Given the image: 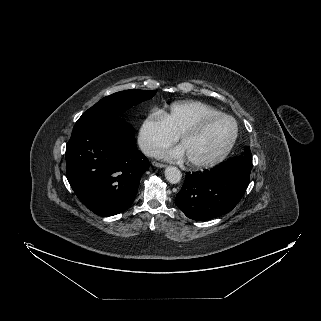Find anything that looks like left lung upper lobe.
Segmentation results:
<instances>
[{"label": "left lung upper lobe", "mask_w": 321, "mask_h": 321, "mask_svg": "<svg viewBox=\"0 0 321 321\" xmlns=\"http://www.w3.org/2000/svg\"><path fill=\"white\" fill-rule=\"evenodd\" d=\"M242 155L251 156L250 148H249V147H246V148L244 149V152L242 153Z\"/></svg>", "instance_id": "1"}]
</instances>
